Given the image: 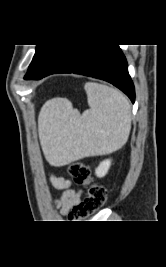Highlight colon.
Instances as JSON below:
<instances>
[{
  "label": "colon",
  "instance_id": "colon-1",
  "mask_svg": "<svg viewBox=\"0 0 166 267\" xmlns=\"http://www.w3.org/2000/svg\"><path fill=\"white\" fill-rule=\"evenodd\" d=\"M69 174L76 184L86 188L85 198L75 205L68 215L72 222H81L104 206L107 193L103 185L94 183L87 165L75 162L69 166Z\"/></svg>",
  "mask_w": 166,
  "mask_h": 267
}]
</instances>
